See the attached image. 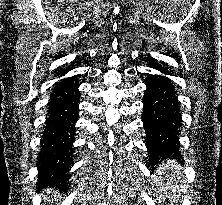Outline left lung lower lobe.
Listing matches in <instances>:
<instances>
[{"label": "left lung lower lobe", "instance_id": "obj_1", "mask_svg": "<svg viewBox=\"0 0 222 205\" xmlns=\"http://www.w3.org/2000/svg\"><path fill=\"white\" fill-rule=\"evenodd\" d=\"M168 74L161 67H153ZM143 98L142 120L146 130V147L150 154L148 165L167 158L181 159L177 136L181 127L179 102L170 79L160 75H149ZM159 150L163 154L158 155Z\"/></svg>", "mask_w": 222, "mask_h": 205}]
</instances>
